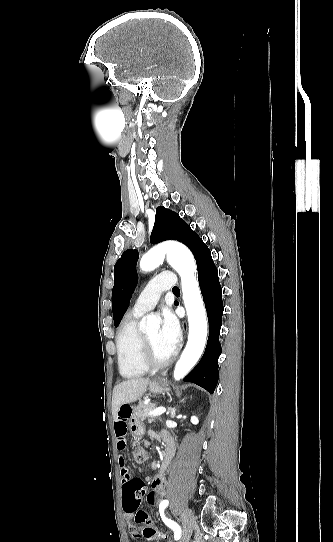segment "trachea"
<instances>
[{
	"mask_svg": "<svg viewBox=\"0 0 333 542\" xmlns=\"http://www.w3.org/2000/svg\"><path fill=\"white\" fill-rule=\"evenodd\" d=\"M173 290H179L178 287H173Z\"/></svg>",
	"mask_w": 333,
	"mask_h": 542,
	"instance_id": "obj_1",
	"label": "trachea"
}]
</instances>
